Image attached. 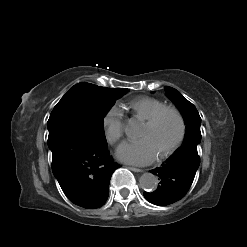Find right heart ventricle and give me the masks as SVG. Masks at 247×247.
<instances>
[{
    "label": "right heart ventricle",
    "instance_id": "obj_1",
    "mask_svg": "<svg viewBox=\"0 0 247 247\" xmlns=\"http://www.w3.org/2000/svg\"><path fill=\"white\" fill-rule=\"evenodd\" d=\"M165 106L163 101L148 96L136 98L129 103L133 116L141 121L147 120Z\"/></svg>",
    "mask_w": 247,
    "mask_h": 247
}]
</instances>
